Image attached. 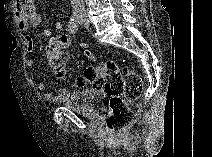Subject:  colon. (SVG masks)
I'll list each match as a JSON object with an SVG mask.
<instances>
[{"mask_svg": "<svg viewBox=\"0 0 212 157\" xmlns=\"http://www.w3.org/2000/svg\"><path fill=\"white\" fill-rule=\"evenodd\" d=\"M69 40L56 37L45 48V59L49 69L59 77L66 73ZM88 82L111 97L110 113L106 130L111 136L123 131L132 121L133 113L124 98L136 99L142 90V80L135 70H121L114 60H105L88 66L78 84Z\"/></svg>", "mask_w": 212, "mask_h": 157, "instance_id": "1", "label": "colon"}]
</instances>
